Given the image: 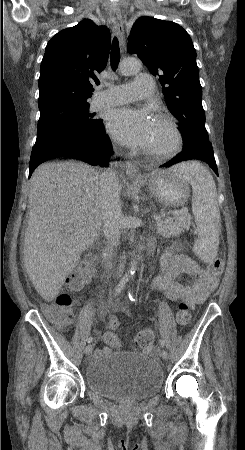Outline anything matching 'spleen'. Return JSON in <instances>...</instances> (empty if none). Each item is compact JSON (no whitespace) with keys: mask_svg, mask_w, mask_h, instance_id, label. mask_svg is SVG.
Returning <instances> with one entry per match:
<instances>
[{"mask_svg":"<svg viewBox=\"0 0 245 450\" xmlns=\"http://www.w3.org/2000/svg\"><path fill=\"white\" fill-rule=\"evenodd\" d=\"M175 168L192 186V211L198 231L193 251L201 260L209 262L217 255L221 230L215 182L206 167L197 161L181 163Z\"/></svg>","mask_w":245,"mask_h":450,"instance_id":"3e777b00","label":"spleen"}]
</instances>
